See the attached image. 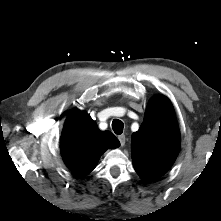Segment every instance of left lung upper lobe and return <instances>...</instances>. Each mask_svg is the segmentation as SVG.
<instances>
[{
	"label": "left lung upper lobe",
	"mask_w": 221,
	"mask_h": 221,
	"mask_svg": "<svg viewBox=\"0 0 221 221\" xmlns=\"http://www.w3.org/2000/svg\"><path fill=\"white\" fill-rule=\"evenodd\" d=\"M179 149L180 133L173 107L165 96H156L131 137L134 168L146 182L159 178L173 165Z\"/></svg>",
	"instance_id": "left-lung-upper-lobe-1"
}]
</instances>
